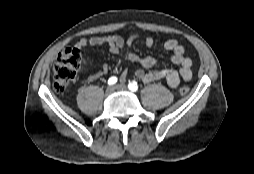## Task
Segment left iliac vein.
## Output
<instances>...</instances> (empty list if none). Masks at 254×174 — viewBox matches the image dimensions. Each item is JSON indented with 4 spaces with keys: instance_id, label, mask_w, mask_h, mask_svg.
Wrapping results in <instances>:
<instances>
[{
    "instance_id": "obj_1",
    "label": "left iliac vein",
    "mask_w": 254,
    "mask_h": 174,
    "mask_svg": "<svg viewBox=\"0 0 254 174\" xmlns=\"http://www.w3.org/2000/svg\"><path fill=\"white\" fill-rule=\"evenodd\" d=\"M116 89L117 90H123V91H126L127 90V87L123 84H119L116 86Z\"/></svg>"
}]
</instances>
